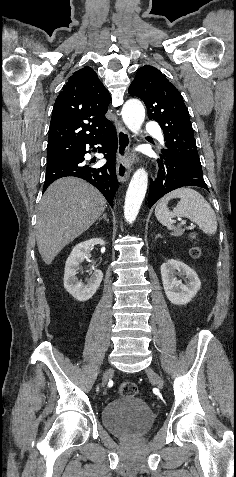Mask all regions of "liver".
<instances>
[{"label":"liver","instance_id":"obj_1","mask_svg":"<svg viewBox=\"0 0 236 477\" xmlns=\"http://www.w3.org/2000/svg\"><path fill=\"white\" fill-rule=\"evenodd\" d=\"M106 206L104 196L81 179L53 182L38 206L36 241L43 261L50 265L67 244L92 226Z\"/></svg>","mask_w":236,"mask_h":477}]
</instances>
